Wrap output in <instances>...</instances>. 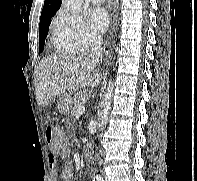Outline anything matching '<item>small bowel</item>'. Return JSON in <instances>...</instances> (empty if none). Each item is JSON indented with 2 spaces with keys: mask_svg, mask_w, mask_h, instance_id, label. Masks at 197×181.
I'll list each match as a JSON object with an SVG mask.
<instances>
[{
  "mask_svg": "<svg viewBox=\"0 0 197 181\" xmlns=\"http://www.w3.org/2000/svg\"><path fill=\"white\" fill-rule=\"evenodd\" d=\"M69 147L67 144H64L60 150V156L63 159L68 158L69 156ZM49 163L51 168V175L53 181L57 180L58 177V163L54 153L49 155ZM74 177V170L70 162H65L60 171V178L62 181H72Z\"/></svg>",
  "mask_w": 197,
  "mask_h": 181,
  "instance_id": "c3829d8e",
  "label": "small bowel"
}]
</instances>
